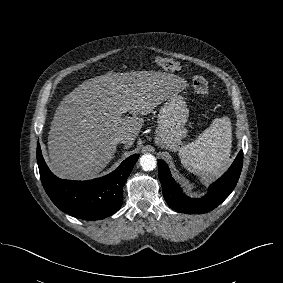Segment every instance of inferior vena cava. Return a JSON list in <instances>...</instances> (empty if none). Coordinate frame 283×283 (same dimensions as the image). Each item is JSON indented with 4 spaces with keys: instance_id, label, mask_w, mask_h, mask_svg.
<instances>
[{
    "instance_id": "obj_1",
    "label": "inferior vena cava",
    "mask_w": 283,
    "mask_h": 283,
    "mask_svg": "<svg viewBox=\"0 0 283 283\" xmlns=\"http://www.w3.org/2000/svg\"><path fill=\"white\" fill-rule=\"evenodd\" d=\"M115 142L118 144V143H123L125 144L126 143V137L125 136H118L115 138Z\"/></svg>"
}]
</instances>
